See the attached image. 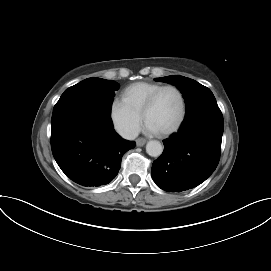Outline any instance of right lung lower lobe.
<instances>
[{
    "label": "right lung lower lobe",
    "instance_id": "98d812e1",
    "mask_svg": "<svg viewBox=\"0 0 271 271\" xmlns=\"http://www.w3.org/2000/svg\"><path fill=\"white\" fill-rule=\"evenodd\" d=\"M51 125V148L58 166L82 186L110 183L122 156L136 144L115 133L110 110L101 106L55 116Z\"/></svg>",
    "mask_w": 271,
    "mask_h": 271
}]
</instances>
